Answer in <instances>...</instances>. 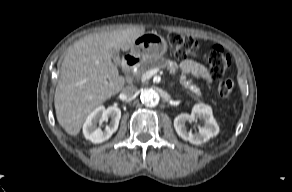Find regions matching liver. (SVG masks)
<instances>
[{"label":"liver","instance_id":"liver-1","mask_svg":"<svg viewBox=\"0 0 292 192\" xmlns=\"http://www.w3.org/2000/svg\"><path fill=\"white\" fill-rule=\"evenodd\" d=\"M144 33L143 27H134L90 34L66 50L54 106L69 135H78L88 115L123 89L125 79L112 62V50L128 51Z\"/></svg>","mask_w":292,"mask_h":192}]
</instances>
